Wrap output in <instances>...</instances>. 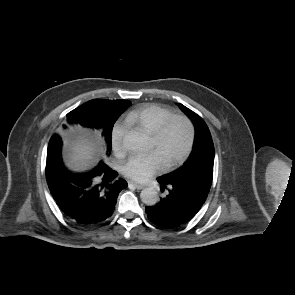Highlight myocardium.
Here are the masks:
<instances>
[{
	"label": "myocardium",
	"mask_w": 295,
	"mask_h": 295,
	"mask_svg": "<svg viewBox=\"0 0 295 295\" xmlns=\"http://www.w3.org/2000/svg\"><path fill=\"white\" fill-rule=\"evenodd\" d=\"M175 122H181L186 126L187 131H188V140H187V143H186V146H185V149L183 150V152L177 158H175L174 160H172L164 165L165 170L173 169V168L179 166L180 164H182L190 155L193 145H194V140H195L194 125L188 117L183 116V115H173V116L167 118L166 120H164L160 124V126L155 130V132L151 135L152 140L156 144H159L163 140V138L166 135L170 126Z\"/></svg>",
	"instance_id": "f54148a6"
}]
</instances>
